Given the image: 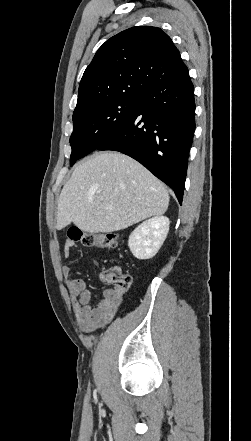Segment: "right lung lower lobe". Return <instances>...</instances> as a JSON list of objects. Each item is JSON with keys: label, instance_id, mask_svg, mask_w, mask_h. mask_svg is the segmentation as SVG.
Here are the masks:
<instances>
[{"label": "right lung lower lobe", "instance_id": "98d812e1", "mask_svg": "<svg viewBox=\"0 0 251 441\" xmlns=\"http://www.w3.org/2000/svg\"><path fill=\"white\" fill-rule=\"evenodd\" d=\"M194 131V87L185 67L144 91L134 112L96 150L134 158L170 186L181 204Z\"/></svg>", "mask_w": 251, "mask_h": 441}]
</instances>
